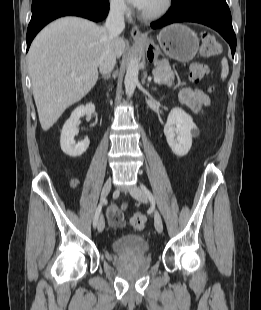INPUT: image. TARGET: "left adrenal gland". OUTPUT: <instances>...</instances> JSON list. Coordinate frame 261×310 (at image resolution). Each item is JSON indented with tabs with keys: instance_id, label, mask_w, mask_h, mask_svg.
<instances>
[{
	"instance_id": "a2214340",
	"label": "left adrenal gland",
	"mask_w": 261,
	"mask_h": 310,
	"mask_svg": "<svg viewBox=\"0 0 261 310\" xmlns=\"http://www.w3.org/2000/svg\"><path fill=\"white\" fill-rule=\"evenodd\" d=\"M147 87H149V84H147ZM152 90H153V91H155V90H156V88H152Z\"/></svg>"
}]
</instances>
